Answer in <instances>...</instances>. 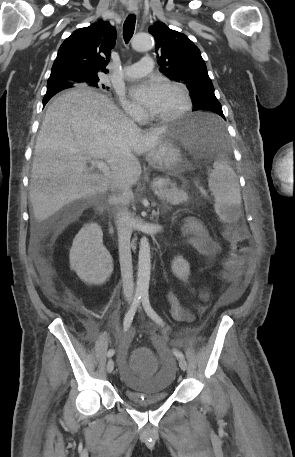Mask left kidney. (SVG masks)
Segmentation results:
<instances>
[{
  "label": "left kidney",
  "mask_w": 295,
  "mask_h": 457,
  "mask_svg": "<svg viewBox=\"0 0 295 457\" xmlns=\"http://www.w3.org/2000/svg\"><path fill=\"white\" fill-rule=\"evenodd\" d=\"M171 268L176 277L183 281H187L190 272V266L182 256H177L174 258Z\"/></svg>",
  "instance_id": "5707ae66"
}]
</instances>
